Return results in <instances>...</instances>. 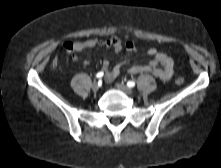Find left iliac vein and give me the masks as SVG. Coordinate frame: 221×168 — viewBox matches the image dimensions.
<instances>
[{
	"mask_svg": "<svg viewBox=\"0 0 221 168\" xmlns=\"http://www.w3.org/2000/svg\"><path fill=\"white\" fill-rule=\"evenodd\" d=\"M116 87H117L119 90H121L122 92H124L125 94L130 95V94L133 93V90H132L130 87H128V86H126L125 84H123V83H117V84H116Z\"/></svg>",
	"mask_w": 221,
	"mask_h": 168,
	"instance_id": "4c4485c4",
	"label": "left iliac vein"
}]
</instances>
